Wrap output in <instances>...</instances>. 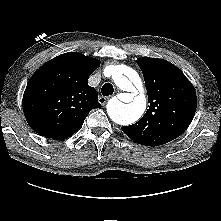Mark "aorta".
Segmentation results:
<instances>
[{
	"instance_id": "762f6f07",
	"label": "aorta",
	"mask_w": 221,
	"mask_h": 221,
	"mask_svg": "<svg viewBox=\"0 0 221 221\" xmlns=\"http://www.w3.org/2000/svg\"><path fill=\"white\" fill-rule=\"evenodd\" d=\"M112 79L120 90L127 92H133L134 86L142 85L138 73L125 65L112 67ZM126 99L127 104L118 99H112L107 104V113L117 124L128 125L137 121L146 109V97L143 93L138 96L128 93Z\"/></svg>"
}]
</instances>
